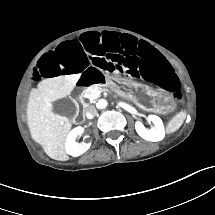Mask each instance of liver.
<instances>
[{
	"label": "liver",
	"instance_id": "1",
	"mask_svg": "<svg viewBox=\"0 0 215 215\" xmlns=\"http://www.w3.org/2000/svg\"><path fill=\"white\" fill-rule=\"evenodd\" d=\"M80 77L81 73L48 78L30 92L27 121L31 137L53 159L65 154L64 142L72 124L52 112V102L70 95Z\"/></svg>",
	"mask_w": 215,
	"mask_h": 215
}]
</instances>
